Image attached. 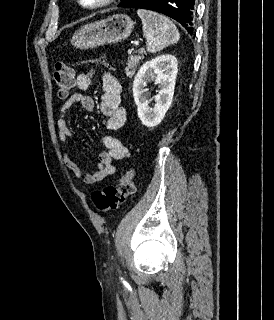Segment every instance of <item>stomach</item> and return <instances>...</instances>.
<instances>
[{
    "mask_svg": "<svg viewBox=\"0 0 274 320\" xmlns=\"http://www.w3.org/2000/svg\"><path fill=\"white\" fill-rule=\"evenodd\" d=\"M134 24L135 22L125 14L108 16L106 20H98V22L82 26L73 34L70 42L74 48H79V50L97 48L105 44H117L131 36Z\"/></svg>",
    "mask_w": 274,
    "mask_h": 320,
    "instance_id": "1",
    "label": "stomach"
}]
</instances>
